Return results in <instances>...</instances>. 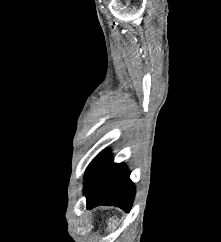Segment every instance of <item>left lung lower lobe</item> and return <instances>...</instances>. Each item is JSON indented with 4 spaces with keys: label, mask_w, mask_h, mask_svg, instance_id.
Listing matches in <instances>:
<instances>
[{
    "label": "left lung lower lobe",
    "mask_w": 221,
    "mask_h": 242,
    "mask_svg": "<svg viewBox=\"0 0 221 242\" xmlns=\"http://www.w3.org/2000/svg\"><path fill=\"white\" fill-rule=\"evenodd\" d=\"M123 163L115 164L108 150H104L89 164L85 173L84 194L87 208L113 205L129 211L135 186Z\"/></svg>",
    "instance_id": "0a47b994"
}]
</instances>
